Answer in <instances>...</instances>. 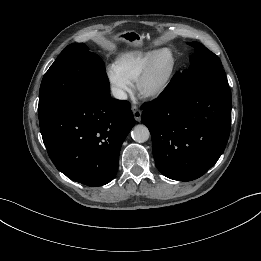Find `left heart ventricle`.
Here are the masks:
<instances>
[{"mask_svg": "<svg viewBox=\"0 0 261 261\" xmlns=\"http://www.w3.org/2000/svg\"><path fill=\"white\" fill-rule=\"evenodd\" d=\"M171 64V57L168 53L161 54L154 65L153 68V79L159 80L168 71Z\"/></svg>", "mask_w": 261, "mask_h": 261, "instance_id": "1", "label": "left heart ventricle"}]
</instances>
